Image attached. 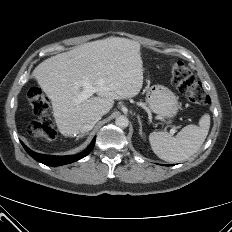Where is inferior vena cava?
Wrapping results in <instances>:
<instances>
[{"mask_svg": "<svg viewBox=\"0 0 232 232\" xmlns=\"http://www.w3.org/2000/svg\"><path fill=\"white\" fill-rule=\"evenodd\" d=\"M101 114H92L88 117L86 123L80 128L81 133L90 131L94 125L101 119Z\"/></svg>", "mask_w": 232, "mask_h": 232, "instance_id": "obj_1", "label": "inferior vena cava"}]
</instances>
